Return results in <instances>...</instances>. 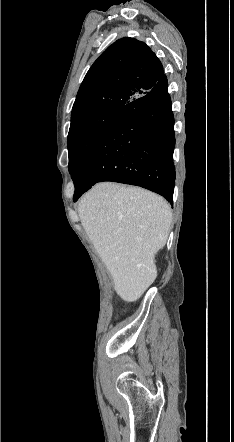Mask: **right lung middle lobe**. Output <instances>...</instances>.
Wrapping results in <instances>:
<instances>
[{"label": "right lung middle lobe", "mask_w": 234, "mask_h": 442, "mask_svg": "<svg viewBox=\"0 0 234 442\" xmlns=\"http://www.w3.org/2000/svg\"><path fill=\"white\" fill-rule=\"evenodd\" d=\"M120 109H106L71 122L68 134L69 172H72L104 134Z\"/></svg>", "instance_id": "dd1d6c3e"}]
</instances>
